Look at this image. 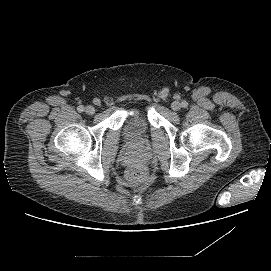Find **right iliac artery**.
<instances>
[{"mask_svg": "<svg viewBox=\"0 0 271 271\" xmlns=\"http://www.w3.org/2000/svg\"><path fill=\"white\" fill-rule=\"evenodd\" d=\"M78 112H83L84 111V107L82 105L78 106L77 108Z\"/></svg>", "mask_w": 271, "mask_h": 271, "instance_id": "right-iliac-artery-1", "label": "right iliac artery"}]
</instances>
